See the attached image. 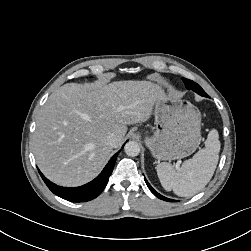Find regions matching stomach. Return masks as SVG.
Here are the masks:
<instances>
[{
	"label": "stomach",
	"instance_id": "1",
	"mask_svg": "<svg viewBox=\"0 0 251 251\" xmlns=\"http://www.w3.org/2000/svg\"><path fill=\"white\" fill-rule=\"evenodd\" d=\"M154 114L156 130L145 137L154 158L170 161L195 152L201 141V113L194 105L164 92Z\"/></svg>",
	"mask_w": 251,
	"mask_h": 251
}]
</instances>
